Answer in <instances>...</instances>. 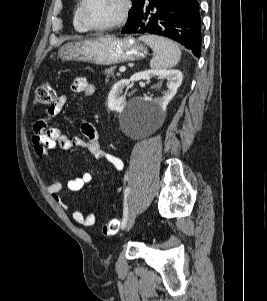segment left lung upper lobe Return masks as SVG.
<instances>
[{"label":"left lung upper lobe","mask_w":267,"mask_h":301,"mask_svg":"<svg viewBox=\"0 0 267 301\" xmlns=\"http://www.w3.org/2000/svg\"><path fill=\"white\" fill-rule=\"evenodd\" d=\"M145 0H132V8L129 11L128 17L130 22L134 20V18L137 16L139 10L143 6Z\"/></svg>","instance_id":"5c2ea615"}]
</instances>
